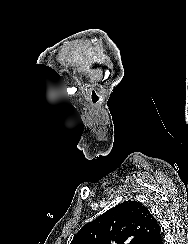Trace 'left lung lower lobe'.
<instances>
[{
	"instance_id": "obj_1",
	"label": "left lung lower lobe",
	"mask_w": 188,
	"mask_h": 244,
	"mask_svg": "<svg viewBox=\"0 0 188 244\" xmlns=\"http://www.w3.org/2000/svg\"><path fill=\"white\" fill-rule=\"evenodd\" d=\"M149 244H163L160 226L156 230V232H155L154 236L152 237L151 241L149 242Z\"/></svg>"
}]
</instances>
